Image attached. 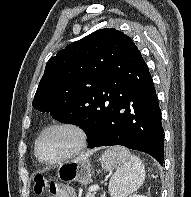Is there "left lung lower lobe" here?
Wrapping results in <instances>:
<instances>
[{
    "instance_id": "obj_1",
    "label": "left lung lower lobe",
    "mask_w": 191,
    "mask_h": 197,
    "mask_svg": "<svg viewBox=\"0 0 191 197\" xmlns=\"http://www.w3.org/2000/svg\"><path fill=\"white\" fill-rule=\"evenodd\" d=\"M89 147L123 145L164 159L161 110L148 68L131 71L86 120Z\"/></svg>"
}]
</instances>
